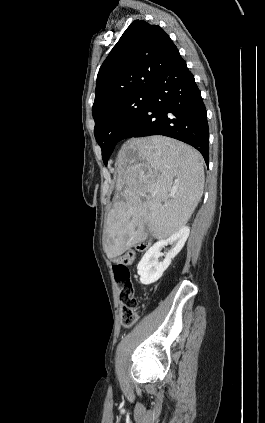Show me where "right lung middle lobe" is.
<instances>
[{
	"label": "right lung middle lobe",
	"mask_w": 265,
	"mask_h": 423,
	"mask_svg": "<svg viewBox=\"0 0 265 423\" xmlns=\"http://www.w3.org/2000/svg\"><path fill=\"white\" fill-rule=\"evenodd\" d=\"M150 96V90L131 94L109 107L95 119L94 134L102 149L105 165L124 131L149 103Z\"/></svg>",
	"instance_id": "1"
}]
</instances>
